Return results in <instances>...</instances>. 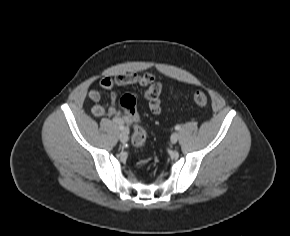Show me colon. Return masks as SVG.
<instances>
[{
    "mask_svg": "<svg viewBox=\"0 0 290 236\" xmlns=\"http://www.w3.org/2000/svg\"><path fill=\"white\" fill-rule=\"evenodd\" d=\"M193 101L197 106H205L208 102V97L203 91H196L193 94ZM119 104L125 112L129 122L133 124L131 143L135 148H142L147 142V132L139 122V116L136 110V100L131 94H124Z\"/></svg>",
    "mask_w": 290,
    "mask_h": 236,
    "instance_id": "5ec220e1",
    "label": "colon"
}]
</instances>
